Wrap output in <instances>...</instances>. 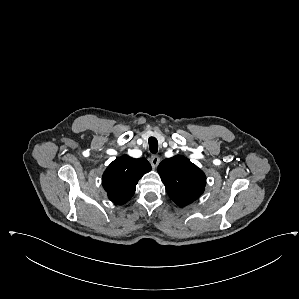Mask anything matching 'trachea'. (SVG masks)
Listing matches in <instances>:
<instances>
[{
    "label": "trachea",
    "mask_w": 299,
    "mask_h": 299,
    "mask_svg": "<svg viewBox=\"0 0 299 299\" xmlns=\"http://www.w3.org/2000/svg\"><path fill=\"white\" fill-rule=\"evenodd\" d=\"M149 149L150 152L156 154L158 152V141L155 137H150L149 140Z\"/></svg>",
    "instance_id": "1"
}]
</instances>
